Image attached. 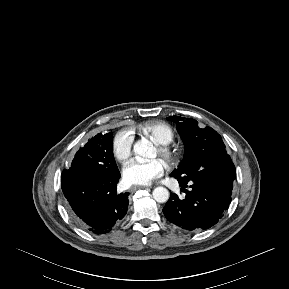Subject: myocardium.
<instances>
[{
	"label": "myocardium",
	"mask_w": 289,
	"mask_h": 289,
	"mask_svg": "<svg viewBox=\"0 0 289 289\" xmlns=\"http://www.w3.org/2000/svg\"><path fill=\"white\" fill-rule=\"evenodd\" d=\"M157 151L161 159L170 167L178 164L180 154L179 151L171 144H157Z\"/></svg>",
	"instance_id": "obj_1"
}]
</instances>
